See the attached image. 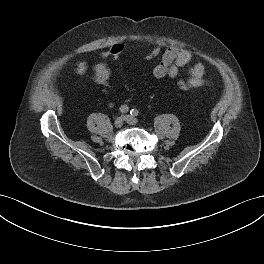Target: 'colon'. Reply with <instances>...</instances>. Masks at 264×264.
Instances as JSON below:
<instances>
[{"mask_svg": "<svg viewBox=\"0 0 264 264\" xmlns=\"http://www.w3.org/2000/svg\"><path fill=\"white\" fill-rule=\"evenodd\" d=\"M124 49H125V45L122 42L114 43L103 52L102 57L104 59L115 61L121 56ZM160 54H161V47L159 45H156L147 51L145 55V59L154 60L158 58ZM177 86L182 91H190L194 88V86L191 84L189 80H179Z\"/></svg>", "mask_w": 264, "mask_h": 264, "instance_id": "obj_1", "label": "colon"}]
</instances>
